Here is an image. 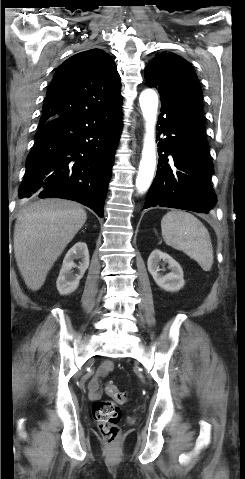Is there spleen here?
<instances>
[{"instance_id": "3e777b00", "label": "spleen", "mask_w": 245, "mask_h": 479, "mask_svg": "<svg viewBox=\"0 0 245 479\" xmlns=\"http://www.w3.org/2000/svg\"><path fill=\"white\" fill-rule=\"evenodd\" d=\"M162 237L168 246L184 252L204 271L213 265V247L207 228L194 215L173 210L161 220Z\"/></svg>"}]
</instances>
